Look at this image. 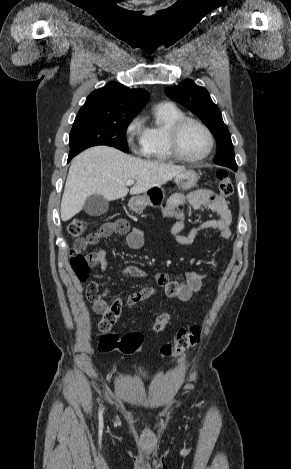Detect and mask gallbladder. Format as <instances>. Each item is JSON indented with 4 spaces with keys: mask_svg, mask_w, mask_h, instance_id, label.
Segmentation results:
<instances>
[{
    "mask_svg": "<svg viewBox=\"0 0 291 469\" xmlns=\"http://www.w3.org/2000/svg\"><path fill=\"white\" fill-rule=\"evenodd\" d=\"M109 201L102 195L92 194L85 200L83 209L90 216H102L108 211Z\"/></svg>",
    "mask_w": 291,
    "mask_h": 469,
    "instance_id": "bac80fb5",
    "label": "gallbladder"
}]
</instances>
